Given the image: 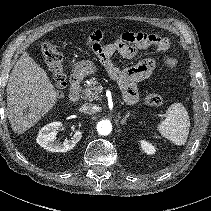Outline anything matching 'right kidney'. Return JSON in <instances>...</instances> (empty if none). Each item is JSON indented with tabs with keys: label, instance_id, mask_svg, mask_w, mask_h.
Wrapping results in <instances>:
<instances>
[{
	"label": "right kidney",
	"instance_id": "right-kidney-1",
	"mask_svg": "<svg viewBox=\"0 0 211 211\" xmlns=\"http://www.w3.org/2000/svg\"><path fill=\"white\" fill-rule=\"evenodd\" d=\"M62 126L63 124L61 122H52L41 128L37 136V143L51 152H66L73 149L76 143L82 138V133L79 130H75L71 139H65L64 142L61 143L56 141V135Z\"/></svg>",
	"mask_w": 211,
	"mask_h": 211
}]
</instances>
